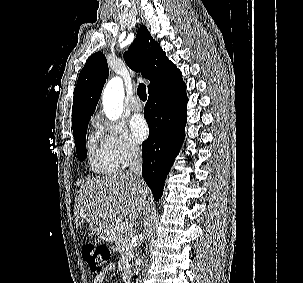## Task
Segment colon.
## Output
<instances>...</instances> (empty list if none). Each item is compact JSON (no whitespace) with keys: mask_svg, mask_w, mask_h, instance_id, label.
<instances>
[{"mask_svg":"<svg viewBox=\"0 0 303 283\" xmlns=\"http://www.w3.org/2000/svg\"><path fill=\"white\" fill-rule=\"evenodd\" d=\"M108 246L99 243H87L82 249V257L92 272H100L110 259Z\"/></svg>","mask_w":303,"mask_h":283,"instance_id":"obj_1","label":"colon"}]
</instances>
